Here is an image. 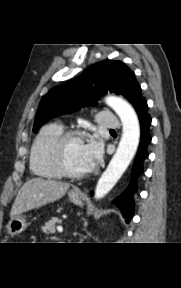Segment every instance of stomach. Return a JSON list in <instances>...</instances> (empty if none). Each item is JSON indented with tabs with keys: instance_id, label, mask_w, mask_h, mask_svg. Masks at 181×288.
<instances>
[{
	"instance_id": "1",
	"label": "stomach",
	"mask_w": 181,
	"mask_h": 288,
	"mask_svg": "<svg viewBox=\"0 0 181 288\" xmlns=\"http://www.w3.org/2000/svg\"><path fill=\"white\" fill-rule=\"evenodd\" d=\"M70 201L76 205H82V197L75 191H70L68 193ZM27 227L26 219L23 215L18 214L15 217L11 218L8 224L6 225V231L9 235H18L23 232Z\"/></svg>"
}]
</instances>
